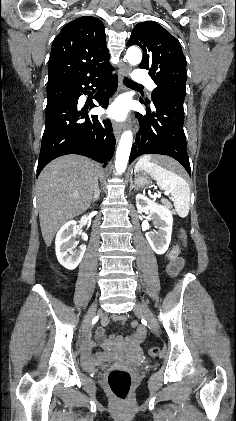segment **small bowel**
Wrapping results in <instances>:
<instances>
[{
	"label": "small bowel",
	"mask_w": 236,
	"mask_h": 421,
	"mask_svg": "<svg viewBox=\"0 0 236 421\" xmlns=\"http://www.w3.org/2000/svg\"><path fill=\"white\" fill-rule=\"evenodd\" d=\"M134 327H136V324H132ZM143 333V330L141 328H137L136 330V336H140Z\"/></svg>",
	"instance_id": "c3829d8e"
}]
</instances>
